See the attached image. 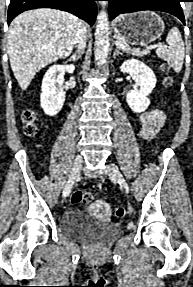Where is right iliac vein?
Returning a JSON list of instances; mask_svg holds the SVG:
<instances>
[{"instance_id":"63e3f726","label":"right iliac vein","mask_w":193,"mask_h":287,"mask_svg":"<svg viewBox=\"0 0 193 287\" xmlns=\"http://www.w3.org/2000/svg\"><path fill=\"white\" fill-rule=\"evenodd\" d=\"M82 164H83V158L81 155L76 156L73 167L71 169L69 178L65 184L64 190H63V197H67L70 192L71 189L74 185V182L76 180V178L78 177L81 168H82Z\"/></svg>"}]
</instances>
